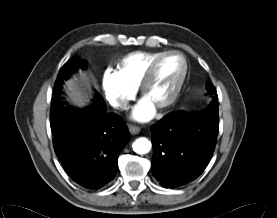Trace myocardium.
<instances>
[{
  "instance_id": "f54148a6",
  "label": "myocardium",
  "mask_w": 277,
  "mask_h": 218,
  "mask_svg": "<svg viewBox=\"0 0 277 218\" xmlns=\"http://www.w3.org/2000/svg\"><path fill=\"white\" fill-rule=\"evenodd\" d=\"M170 55H176V56L180 57V59L182 60V64H183V70H182L181 76H180L177 84L175 85L173 91L171 92L170 96L164 102L157 105V108H159V109L167 108V107L171 106L177 100V98L182 90V87L184 85V82L186 80L187 74H188L189 66H188V61H187L186 57L181 52L176 51V50H169V51L162 52L161 54H159L157 57H155L151 61V63L149 64L148 68L146 69V71L141 79V82L138 86L141 95L145 96V91L155 75L158 64L160 63V61L162 59H164L165 57L170 56Z\"/></svg>"
}]
</instances>
